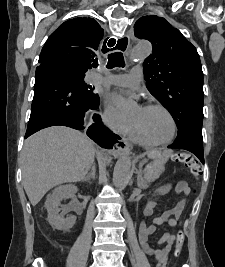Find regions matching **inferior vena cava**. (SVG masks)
<instances>
[{
  "instance_id": "obj_1",
  "label": "inferior vena cava",
  "mask_w": 225,
  "mask_h": 267,
  "mask_svg": "<svg viewBox=\"0 0 225 267\" xmlns=\"http://www.w3.org/2000/svg\"><path fill=\"white\" fill-rule=\"evenodd\" d=\"M105 123H106L108 126H112V124H111L109 121H107V120H105Z\"/></svg>"
}]
</instances>
